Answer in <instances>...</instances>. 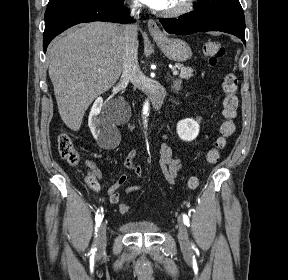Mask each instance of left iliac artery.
I'll return each mask as SVG.
<instances>
[{
  "mask_svg": "<svg viewBox=\"0 0 288 280\" xmlns=\"http://www.w3.org/2000/svg\"><path fill=\"white\" fill-rule=\"evenodd\" d=\"M182 216H183L184 224H185L187 227H189V226H190V221H189L188 215H187L186 213H183Z\"/></svg>",
  "mask_w": 288,
  "mask_h": 280,
  "instance_id": "44dca946",
  "label": "left iliac artery"
}]
</instances>
